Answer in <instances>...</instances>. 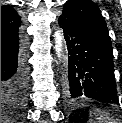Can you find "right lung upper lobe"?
<instances>
[{"mask_svg": "<svg viewBox=\"0 0 122 123\" xmlns=\"http://www.w3.org/2000/svg\"><path fill=\"white\" fill-rule=\"evenodd\" d=\"M7 23L20 25L21 18L13 8L4 6L1 7V25Z\"/></svg>", "mask_w": 122, "mask_h": 123, "instance_id": "1", "label": "right lung upper lobe"}]
</instances>
